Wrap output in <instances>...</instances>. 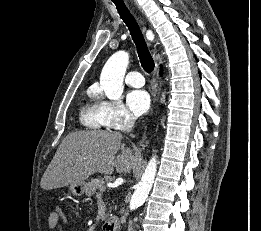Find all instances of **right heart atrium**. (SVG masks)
<instances>
[{"instance_id":"obj_1","label":"right heart atrium","mask_w":261,"mask_h":231,"mask_svg":"<svg viewBox=\"0 0 261 231\" xmlns=\"http://www.w3.org/2000/svg\"><path fill=\"white\" fill-rule=\"evenodd\" d=\"M99 106L103 124L111 130H125L134 121L133 114L121 102L103 100Z\"/></svg>"}]
</instances>
